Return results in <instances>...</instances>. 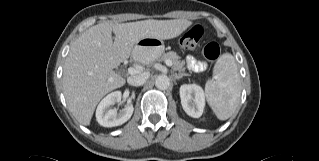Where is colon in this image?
Returning <instances> with one entry per match:
<instances>
[{"mask_svg": "<svg viewBox=\"0 0 319 161\" xmlns=\"http://www.w3.org/2000/svg\"><path fill=\"white\" fill-rule=\"evenodd\" d=\"M204 33L202 26H193L180 37V45L184 49L196 47ZM202 54L209 62H216L220 57V44L216 40H209L202 50Z\"/></svg>", "mask_w": 319, "mask_h": 161, "instance_id": "1", "label": "colon"}]
</instances>
